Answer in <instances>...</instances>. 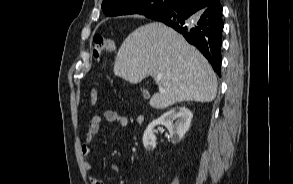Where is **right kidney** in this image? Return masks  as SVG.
<instances>
[{
  "instance_id": "ca27d5eb",
  "label": "right kidney",
  "mask_w": 293,
  "mask_h": 184,
  "mask_svg": "<svg viewBox=\"0 0 293 184\" xmlns=\"http://www.w3.org/2000/svg\"><path fill=\"white\" fill-rule=\"evenodd\" d=\"M192 118V112L186 107H177L165 112L147 126L142 139L144 147L149 150L156 147L153 129L159 124L168 129L173 144L179 142L188 131Z\"/></svg>"
}]
</instances>
